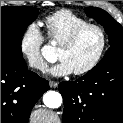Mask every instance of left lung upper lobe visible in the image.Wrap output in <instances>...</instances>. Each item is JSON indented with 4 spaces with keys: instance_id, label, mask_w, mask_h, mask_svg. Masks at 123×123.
Returning a JSON list of instances; mask_svg holds the SVG:
<instances>
[{
    "instance_id": "5c2ea615",
    "label": "left lung upper lobe",
    "mask_w": 123,
    "mask_h": 123,
    "mask_svg": "<svg viewBox=\"0 0 123 123\" xmlns=\"http://www.w3.org/2000/svg\"><path fill=\"white\" fill-rule=\"evenodd\" d=\"M85 13L104 26L109 37L110 47L102 61L115 56H123V27L106 11L96 8L87 7Z\"/></svg>"
}]
</instances>
